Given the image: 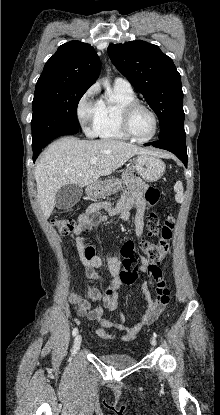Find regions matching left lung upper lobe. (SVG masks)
<instances>
[{"instance_id":"left-lung-upper-lobe-1","label":"left lung upper lobe","mask_w":220,"mask_h":415,"mask_svg":"<svg viewBox=\"0 0 220 415\" xmlns=\"http://www.w3.org/2000/svg\"><path fill=\"white\" fill-rule=\"evenodd\" d=\"M108 55L157 114L159 138L184 127L181 76L170 57L157 45L139 40L109 45Z\"/></svg>"}]
</instances>
